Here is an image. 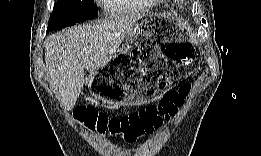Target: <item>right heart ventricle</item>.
I'll list each match as a JSON object with an SVG mask.
<instances>
[{"mask_svg": "<svg viewBox=\"0 0 261 156\" xmlns=\"http://www.w3.org/2000/svg\"><path fill=\"white\" fill-rule=\"evenodd\" d=\"M134 0H106L103 3L112 10L124 11Z\"/></svg>", "mask_w": 261, "mask_h": 156, "instance_id": "e07e8e85", "label": "right heart ventricle"}]
</instances>
